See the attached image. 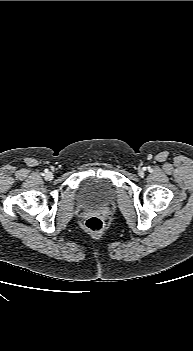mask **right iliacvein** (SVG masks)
I'll return each instance as SVG.
<instances>
[{
	"instance_id": "63e3f726",
	"label": "right iliac vein",
	"mask_w": 193,
	"mask_h": 351,
	"mask_svg": "<svg viewBox=\"0 0 193 351\" xmlns=\"http://www.w3.org/2000/svg\"><path fill=\"white\" fill-rule=\"evenodd\" d=\"M45 178L48 179V180H52V179H53V173L48 172V173L45 175Z\"/></svg>"
}]
</instances>
